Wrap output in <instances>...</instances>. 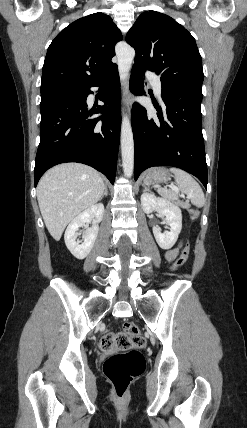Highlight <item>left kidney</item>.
I'll return each mask as SVG.
<instances>
[{
	"label": "left kidney",
	"mask_w": 247,
	"mask_h": 428,
	"mask_svg": "<svg viewBox=\"0 0 247 428\" xmlns=\"http://www.w3.org/2000/svg\"><path fill=\"white\" fill-rule=\"evenodd\" d=\"M141 206L147 214L157 211L163 217L164 223L170 226V231L165 233H161V229L154 226L153 234L160 248L165 250L172 248L182 229L181 209L171 201L156 197L153 193L141 195Z\"/></svg>",
	"instance_id": "left-kidney-1"
}]
</instances>
